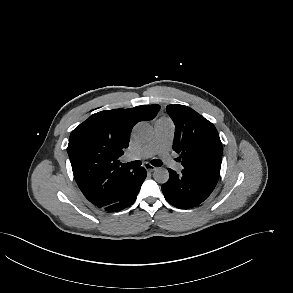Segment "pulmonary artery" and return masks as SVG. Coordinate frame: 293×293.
I'll return each instance as SVG.
<instances>
[{
    "mask_svg": "<svg viewBox=\"0 0 293 293\" xmlns=\"http://www.w3.org/2000/svg\"><path fill=\"white\" fill-rule=\"evenodd\" d=\"M174 137V124L168 119H161L155 123V135L146 145L140 147L126 156V160L135 161L160 155L165 161H169V149ZM174 170H181L180 163H172Z\"/></svg>",
    "mask_w": 293,
    "mask_h": 293,
    "instance_id": "obj_1",
    "label": "pulmonary artery"
}]
</instances>
